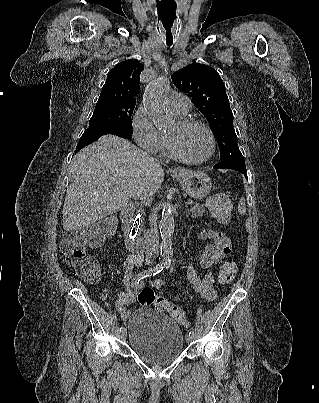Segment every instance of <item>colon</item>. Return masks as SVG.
<instances>
[{
    "instance_id": "obj_1",
    "label": "colon",
    "mask_w": 319,
    "mask_h": 403,
    "mask_svg": "<svg viewBox=\"0 0 319 403\" xmlns=\"http://www.w3.org/2000/svg\"><path fill=\"white\" fill-rule=\"evenodd\" d=\"M210 213L219 222L225 223L229 219L230 202L225 194H217L208 200ZM116 223L113 218H105L97 225L80 231L68 232L63 236L61 249L69 265L74 267L77 275L88 282H95L99 278L100 266L97 260L85 254V245L98 247L105 237L115 232ZM219 235V234H218ZM237 268L233 263L223 265L219 273L221 283H229L236 276ZM138 302L143 307L154 306L157 310L168 313L177 323L189 327L185 312L176 304L156 295L148 287L141 288L137 294Z\"/></svg>"
}]
</instances>
